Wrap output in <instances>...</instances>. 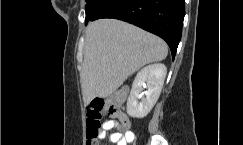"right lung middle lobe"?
<instances>
[{"instance_id":"obj_1","label":"right lung middle lobe","mask_w":243,"mask_h":145,"mask_svg":"<svg viewBox=\"0 0 243 145\" xmlns=\"http://www.w3.org/2000/svg\"><path fill=\"white\" fill-rule=\"evenodd\" d=\"M85 1L87 2L86 7H88L91 4V2H92V0H85Z\"/></svg>"}]
</instances>
